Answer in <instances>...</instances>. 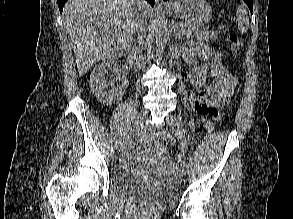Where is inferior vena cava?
<instances>
[{
	"mask_svg": "<svg viewBox=\"0 0 293 219\" xmlns=\"http://www.w3.org/2000/svg\"><path fill=\"white\" fill-rule=\"evenodd\" d=\"M138 5H139V9H141L142 7H148L147 2L143 1V0H138L137 1ZM133 27H134V46H133V52L135 53H139L140 51V46L144 43V39L146 36V22L144 20V18L142 17V15L137 12L134 20H133ZM135 66L138 69H142L145 68V61L142 58V56H138L135 59Z\"/></svg>",
	"mask_w": 293,
	"mask_h": 219,
	"instance_id": "602c4592",
	"label": "inferior vena cava"
}]
</instances>
